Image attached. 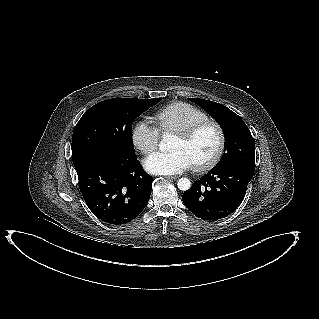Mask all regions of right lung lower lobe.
Returning <instances> with one entry per match:
<instances>
[{"label":"right lung lower lobe","instance_id":"98d812e1","mask_svg":"<svg viewBox=\"0 0 319 319\" xmlns=\"http://www.w3.org/2000/svg\"><path fill=\"white\" fill-rule=\"evenodd\" d=\"M83 198L99 219L122 225L147 205L153 178L136 156L126 158L110 148L82 152L72 158Z\"/></svg>","mask_w":319,"mask_h":319}]
</instances>
